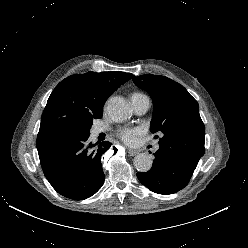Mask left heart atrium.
I'll return each instance as SVG.
<instances>
[{
	"instance_id": "left-heart-atrium-1",
	"label": "left heart atrium",
	"mask_w": 248,
	"mask_h": 248,
	"mask_svg": "<svg viewBox=\"0 0 248 248\" xmlns=\"http://www.w3.org/2000/svg\"><path fill=\"white\" fill-rule=\"evenodd\" d=\"M142 132L143 130L139 127L124 128L118 132V137L127 144H134Z\"/></svg>"
}]
</instances>
